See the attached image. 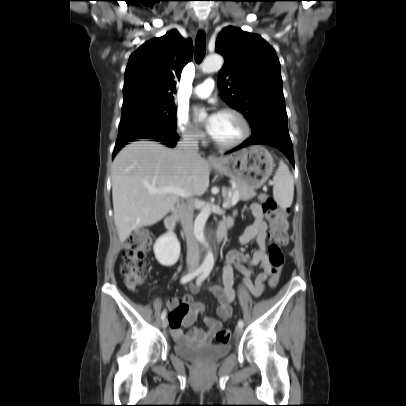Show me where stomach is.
Segmentation results:
<instances>
[{"label":"stomach","instance_id":"1","mask_svg":"<svg viewBox=\"0 0 406 406\" xmlns=\"http://www.w3.org/2000/svg\"><path fill=\"white\" fill-rule=\"evenodd\" d=\"M219 173L249 189L260 188L273 171L274 160L262 146L254 145L223 157L212 165Z\"/></svg>","mask_w":406,"mask_h":406}]
</instances>
